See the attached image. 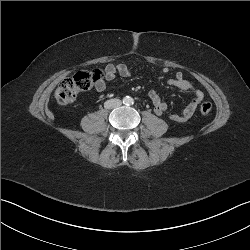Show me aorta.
<instances>
[{
	"instance_id": "762f6f07",
	"label": "aorta",
	"mask_w": 250,
	"mask_h": 250,
	"mask_svg": "<svg viewBox=\"0 0 250 250\" xmlns=\"http://www.w3.org/2000/svg\"><path fill=\"white\" fill-rule=\"evenodd\" d=\"M124 102L126 104H131V103H133V99L131 97L127 96V97L124 98Z\"/></svg>"
}]
</instances>
